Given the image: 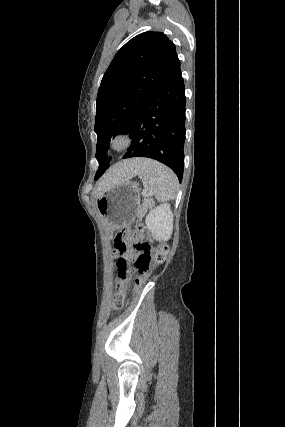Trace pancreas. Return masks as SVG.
Masks as SVG:
<instances>
[{
	"label": "pancreas",
	"mask_w": 285,
	"mask_h": 427,
	"mask_svg": "<svg viewBox=\"0 0 285 427\" xmlns=\"http://www.w3.org/2000/svg\"><path fill=\"white\" fill-rule=\"evenodd\" d=\"M153 200L152 199H145L142 203V206L140 207V210L138 212V217L142 218L147 210L152 206Z\"/></svg>",
	"instance_id": "obj_1"
}]
</instances>
